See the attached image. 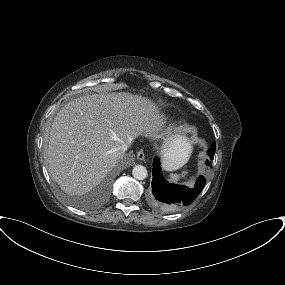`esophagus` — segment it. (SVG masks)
Returning a JSON list of instances; mask_svg holds the SVG:
<instances>
[{"instance_id": "34e87169", "label": "esophagus", "mask_w": 285, "mask_h": 285, "mask_svg": "<svg viewBox=\"0 0 285 285\" xmlns=\"http://www.w3.org/2000/svg\"><path fill=\"white\" fill-rule=\"evenodd\" d=\"M144 158H145V155H144L143 151H138L137 152V159L140 161H143Z\"/></svg>"}]
</instances>
